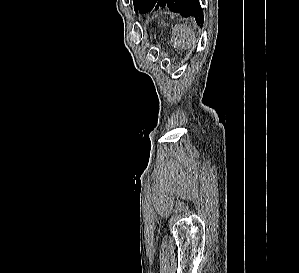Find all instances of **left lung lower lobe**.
<instances>
[{"mask_svg":"<svg viewBox=\"0 0 299 273\" xmlns=\"http://www.w3.org/2000/svg\"><path fill=\"white\" fill-rule=\"evenodd\" d=\"M161 7H167L183 17L193 16L200 27L203 25L204 16L199 0H147L140 12H151Z\"/></svg>","mask_w":299,"mask_h":273,"instance_id":"left-lung-lower-lobe-1","label":"left lung lower lobe"}]
</instances>
